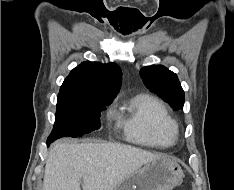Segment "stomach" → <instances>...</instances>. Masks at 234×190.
Segmentation results:
<instances>
[{"label": "stomach", "mask_w": 234, "mask_h": 190, "mask_svg": "<svg viewBox=\"0 0 234 190\" xmlns=\"http://www.w3.org/2000/svg\"><path fill=\"white\" fill-rule=\"evenodd\" d=\"M183 177L178 163L160 156L122 179L113 190H172Z\"/></svg>", "instance_id": "stomach-1"}]
</instances>
